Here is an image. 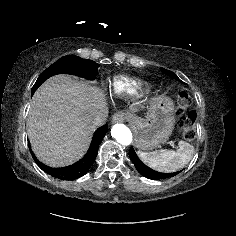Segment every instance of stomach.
Here are the masks:
<instances>
[{"mask_svg": "<svg viewBox=\"0 0 236 236\" xmlns=\"http://www.w3.org/2000/svg\"><path fill=\"white\" fill-rule=\"evenodd\" d=\"M127 118L135 134V146L141 150H152L166 142L174 129V104L166 96L152 99L146 118L128 113Z\"/></svg>", "mask_w": 236, "mask_h": 236, "instance_id": "0dacf381", "label": "stomach"}]
</instances>
